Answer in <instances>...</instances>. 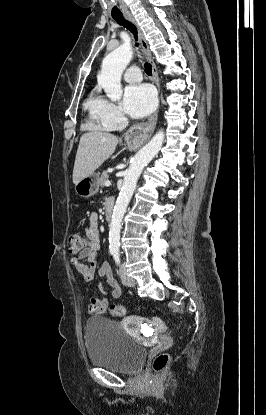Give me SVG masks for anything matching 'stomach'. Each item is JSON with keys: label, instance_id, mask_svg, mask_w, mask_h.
Masks as SVG:
<instances>
[{"label": "stomach", "instance_id": "obj_1", "mask_svg": "<svg viewBox=\"0 0 266 415\" xmlns=\"http://www.w3.org/2000/svg\"><path fill=\"white\" fill-rule=\"evenodd\" d=\"M129 148L134 149V145L129 144ZM99 186V175L92 173L75 185V192L82 198H89L97 193Z\"/></svg>", "mask_w": 266, "mask_h": 415}]
</instances>
